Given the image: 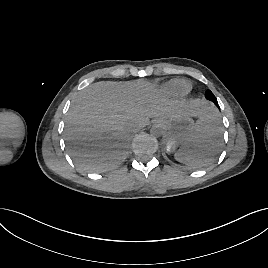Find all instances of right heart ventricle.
Segmentation results:
<instances>
[{"mask_svg": "<svg viewBox=\"0 0 268 268\" xmlns=\"http://www.w3.org/2000/svg\"><path fill=\"white\" fill-rule=\"evenodd\" d=\"M167 88L175 95H185L191 89L189 82L183 79H175L167 84Z\"/></svg>", "mask_w": 268, "mask_h": 268, "instance_id": "1", "label": "right heart ventricle"}]
</instances>
